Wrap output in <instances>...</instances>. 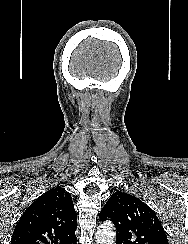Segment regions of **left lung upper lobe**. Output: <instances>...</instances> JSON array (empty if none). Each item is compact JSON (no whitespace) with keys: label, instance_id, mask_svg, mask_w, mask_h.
I'll return each instance as SVG.
<instances>
[{"label":"left lung upper lobe","instance_id":"1","mask_svg":"<svg viewBox=\"0 0 188 244\" xmlns=\"http://www.w3.org/2000/svg\"><path fill=\"white\" fill-rule=\"evenodd\" d=\"M101 221L116 226V244H168L156 214L135 196L118 191L99 214Z\"/></svg>","mask_w":188,"mask_h":244}]
</instances>
